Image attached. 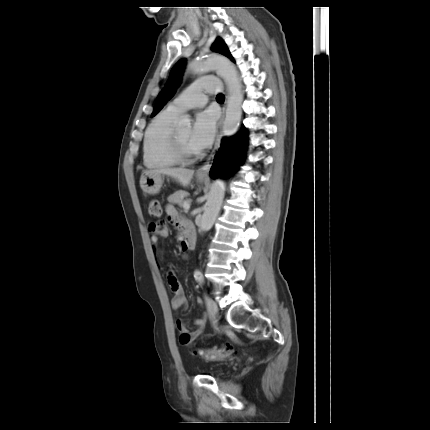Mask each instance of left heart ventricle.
I'll return each mask as SVG.
<instances>
[{"label": "left heart ventricle", "instance_id": "left-heart-ventricle-1", "mask_svg": "<svg viewBox=\"0 0 430 430\" xmlns=\"http://www.w3.org/2000/svg\"><path fill=\"white\" fill-rule=\"evenodd\" d=\"M178 136L181 140V142L184 144V146L192 152H196V150L191 146L190 144V138H191V129L190 128H179L177 129Z\"/></svg>", "mask_w": 430, "mask_h": 430}]
</instances>
